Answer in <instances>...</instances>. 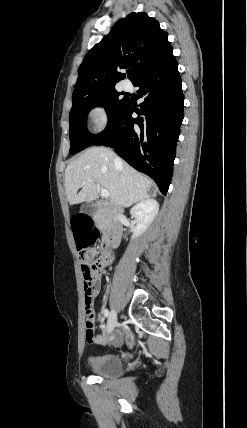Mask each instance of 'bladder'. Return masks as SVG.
I'll return each instance as SVG.
<instances>
[{"label":"bladder","mask_w":247,"mask_h":428,"mask_svg":"<svg viewBox=\"0 0 247 428\" xmlns=\"http://www.w3.org/2000/svg\"><path fill=\"white\" fill-rule=\"evenodd\" d=\"M88 369L98 376L116 377L122 373L123 365L117 354L106 353L89 358Z\"/></svg>","instance_id":"31cf9c89"}]
</instances>
